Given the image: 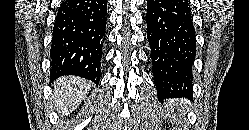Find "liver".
<instances>
[{
  "label": "liver",
  "instance_id": "6515ba94",
  "mask_svg": "<svg viewBox=\"0 0 249 130\" xmlns=\"http://www.w3.org/2000/svg\"><path fill=\"white\" fill-rule=\"evenodd\" d=\"M91 84L78 77H62L54 83V109L63 116L75 110L86 97Z\"/></svg>",
  "mask_w": 249,
  "mask_h": 130
}]
</instances>
